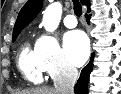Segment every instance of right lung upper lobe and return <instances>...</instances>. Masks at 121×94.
Here are the masks:
<instances>
[{
	"mask_svg": "<svg viewBox=\"0 0 121 94\" xmlns=\"http://www.w3.org/2000/svg\"><path fill=\"white\" fill-rule=\"evenodd\" d=\"M81 3L86 5L88 9L90 8L89 0H81ZM41 8L42 0H28L17 17L13 34L21 32L24 27H26L33 19H35V17L41 11Z\"/></svg>",
	"mask_w": 121,
	"mask_h": 94,
	"instance_id": "obj_1",
	"label": "right lung upper lobe"
}]
</instances>
